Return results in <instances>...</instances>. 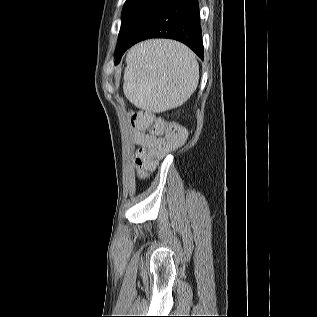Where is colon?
Segmentation results:
<instances>
[{
  "instance_id": "5ec220e1",
  "label": "colon",
  "mask_w": 317,
  "mask_h": 317,
  "mask_svg": "<svg viewBox=\"0 0 317 317\" xmlns=\"http://www.w3.org/2000/svg\"><path fill=\"white\" fill-rule=\"evenodd\" d=\"M133 126L142 131L159 136L150 149L138 153L135 167L140 177L153 170L157 161L183 144L185 130L172 122H167L150 111H139L132 116Z\"/></svg>"
}]
</instances>
